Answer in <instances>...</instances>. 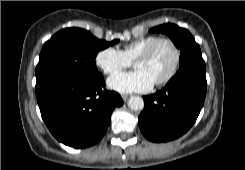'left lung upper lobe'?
<instances>
[{
  "mask_svg": "<svg viewBox=\"0 0 245 170\" xmlns=\"http://www.w3.org/2000/svg\"><path fill=\"white\" fill-rule=\"evenodd\" d=\"M149 32L167 34L175 46L181 50L178 72H205V62L202 58L200 47L188 30L180 28L177 25L167 23L154 27L150 29Z\"/></svg>",
  "mask_w": 245,
  "mask_h": 170,
  "instance_id": "5c2ea615",
  "label": "left lung upper lobe"
}]
</instances>
